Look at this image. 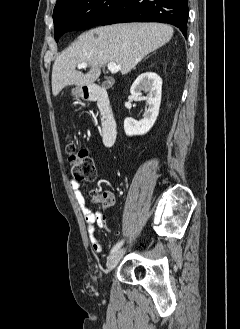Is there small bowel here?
<instances>
[{
    "label": "small bowel",
    "instance_id": "obj_1",
    "mask_svg": "<svg viewBox=\"0 0 240 329\" xmlns=\"http://www.w3.org/2000/svg\"><path fill=\"white\" fill-rule=\"evenodd\" d=\"M70 187L74 193L76 202L78 203L83 213L92 249L94 252L99 253L102 251L103 246L102 243L95 236V225H98L102 228L105 225V220L103 219L102 214L100 212H94L87 207L80 183L72 180L70 181ZM112 204L113 199L110 198L108 205Z\"/></svg>",
    "mask_w": 240,
    "mask_h": 329
}]
</instances>
